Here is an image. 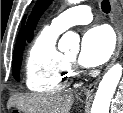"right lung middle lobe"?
<instances>
[{
  "label": "right lung middle lobe",
  "instance_id": "obj_1",
  "mask_svg": "<svg viewBox=\"0 0 123 113\" xmlns=\"http://www.w3.org/2000/svg\"><path fill=\"white\" fill-rule=\"evenodd\" d=\"M23 49L18 50V51H16V52L13 53L12 72H13L14 78L17 81L20 80V67H21Z\"/></svg>",
  "mask_w": 123,
  "mask_h": 113
}]
</instances>
